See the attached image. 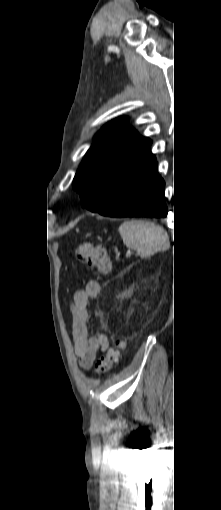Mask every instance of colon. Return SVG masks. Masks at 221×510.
<instances>
[{
	"mask_svg": "<svg viewBox=\"0 0 221 510\" xmlns=\"http://www.w3.org/2000/svg\"><path fill=\"white\" fill-rule=\"evenodd\" d=\"M76 256L79 261L90 265L100 273H108L111 269L110 256L104 247L83 243L78 247ZM124 347V340H116L114 344L108 348L106 354L99 360L97 373L104 374L108 372L118 361Z\"/></svg>",
	"mask_w": 221,
	"mask_h": 510,
	"instance_id": "obj_1",
	"label": "colon"
}]
</instances>
